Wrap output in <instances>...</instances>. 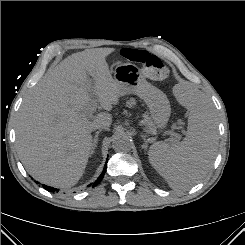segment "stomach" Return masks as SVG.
Instances as JSON below:
<instances>
[{"instance_id": "0dacf381", "label": "stomach", "mask_w": 245, "mask_h": 245, "mask_svg": "<svg viewBox=\"0 0 245 245\" xmlns=\"http://www.w3.org/2000/svg\"><path fill=\"white\" fill-rule=\"evenodd\" d=\"M114 80L117 82L121 95L135 94L144 100L149 108L153 129H164L171 114L169 100L166 94L150 84L133 64H119L114 70Z\"/></svg>"}]
</instances>
